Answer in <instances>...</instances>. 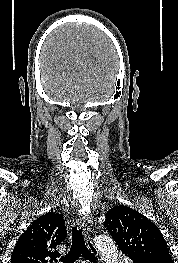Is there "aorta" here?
Here are the masks:
<instances>
[{
	"instance_id": "1",
	"label": "aorta",
	"mask_w": 178,
	"mask_h": 263,
	"mask_svg": "<svg viewBox=\"0 0 178 263\" xmlns=\"http://www.w3.org/2000/svg\"><path fill=\"white\" fill-rule=\"evenodd\" d=\"M95 245L101 253L104 263H115L118 258V248L115 242L106 235L95 238Z\"/></svg>"
}]
</instances>
